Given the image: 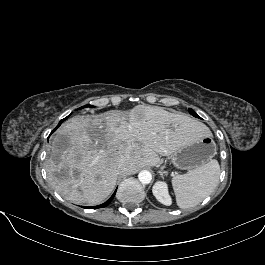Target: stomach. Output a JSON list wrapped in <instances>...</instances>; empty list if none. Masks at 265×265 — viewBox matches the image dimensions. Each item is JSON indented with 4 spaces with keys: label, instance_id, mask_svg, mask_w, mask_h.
Here are the masks:
<instances>
[{
    "label": "stomach",
    "instance_id": "stomach-1",
    "mask_svg": "<svg viewBox=\"0 0 265 265\" xmlns=\"http://www.w3.org/2000/svg\"><path fill=\"white\" fill-rule=\"evenodd\" d=\"M216 153L211 135L196 137L185 142L171 156L178 169L190 170L208 163Z\"/></svg>",
    "mask_w": 265,
    "mask_h": 265
}]
</instances>
